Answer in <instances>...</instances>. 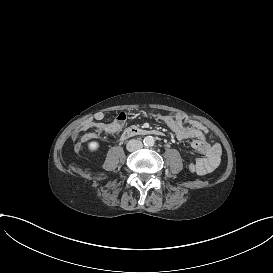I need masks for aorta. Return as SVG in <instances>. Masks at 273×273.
I'll use <instances>...</instances> for the list:
<instances>
[{"mask_svg":"<svg viewBox=\"0 0 273 273\" xmlns=\"http://www.w3.org/2000/svg\"><path fill=\"white\" fill-rule=\"evenodd\" d=\"M154 142H155V140H154V137H152V136H146V137L144 138V144H145L146 146H153V145H154Z\"/></svg>","mask_w":273,"mask_h":273,"instance_id":"aorta-1","label":"aorta"}]
</instances>
